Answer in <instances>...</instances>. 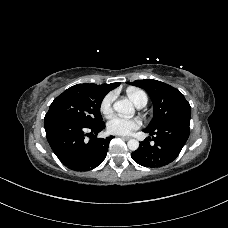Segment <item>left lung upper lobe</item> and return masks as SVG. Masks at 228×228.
Returning a JSON list of instances; mask_svg holds the SVG:
<instances>
[{
  "instance_id": "obj_1",
  "label": "left lung upper lobe",
  "mask_w": 228,
  "mask_h": 228,
  "mask_svg": "<svg viewBox=\"0 0 228 228\" xmlns=\"http://www.w3.org/2000/svg\"><path fill=\"white\" fill-rule=\"evenodd\" d=\"M145 89L154 105L153 119L146 130H157L161 126L191 116L190 104L176 88L153 79L128 82Z\"/></svg>"
}]
</instances>
